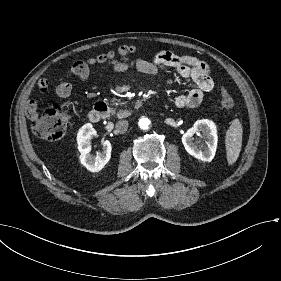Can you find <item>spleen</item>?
Returning a JSON list of instances; mask_svg holds the SVG:
<instances>
[{
  "instance_id": "spleen-1",
  "label": "spleen",
  "mask_w": 281,
  "mask_h": 281,
  "mask_svg": "<svg viewBox=\"0 0 281 281\" xmlns=\"http://www.w3.org/2000/svg\"><path fill=\"white\" fill-rule=\"evenodd\" d=\"M243 129L239 119H234L226 132L225 145L227 162L229 165L234 164L240 154L242 147Z\"/></svg>"
}]
</instances>
